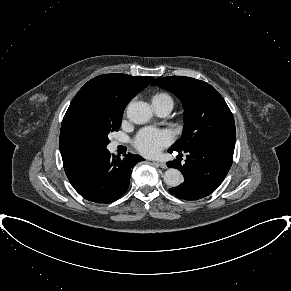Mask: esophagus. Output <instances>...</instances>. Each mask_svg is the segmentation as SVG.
I'll use <instances>...</instances> for the list:
<instances>
[{"label": "esophagus", "mask_w": 291, "mask_h": 291, "mask_svg": "<svg viewBox=\"0 0 291 291\" xmlns=\"http://www.w3.org/2000/svg\"><path fill=\"white\" fill-rule=\"evenodd\" d=\"M154 164H156L157 166L163 169L167 168V165L164 162L154 161Z\"/></svg>", "instance_id": "34e87169"}]
</instances>
